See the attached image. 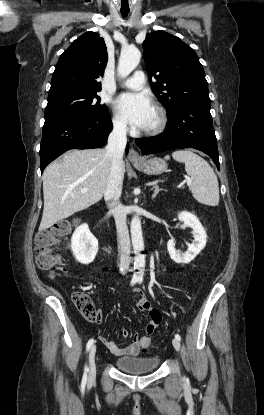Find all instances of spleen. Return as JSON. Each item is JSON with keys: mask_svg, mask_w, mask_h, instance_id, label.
I'll list each match as a JSON object with an SVG mask.
<instances>
[{"mask_svg": "<svg viewBox=\"0 0 264 415\" xmlns=\"http://www.w3.org/2000/svg\"><path fill=\"white\" fill-rule=\"evenodd\" d=\"M174 160L185 163V170L190 176V191L200 203L217 206L219 203V186L214 170L202 157L191 150H177L172 153ZM169 155L165 159H169Z\"/></svg>", "mask_w": 264, "mask_h": 415, "instance_id": "3e777b00", "label": "spleen"}]
</instances>
